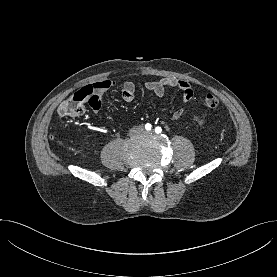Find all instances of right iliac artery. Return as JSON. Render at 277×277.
Here are the masks:
<instances>
[{
	"label": "right iliac artery",
	"mask_w": 277,
	"mask_h": 277,
	"mask_svg": "<svg viewBox=\"0 0 277 277\" xmlns=\"http://www.w3.org/2000/svg\"><path fill=\"white\" fill-rule=\"evenodd\" d=\"M151 128H152V126H151V124H149V123H147L146 125H145V129L146 130H151Z\"/></svg>",
	"instance_id": "1"
}]
</instances>
